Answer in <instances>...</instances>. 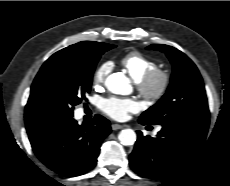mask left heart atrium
<instances>
[{"mask_svg":"<svg viewBox=\"0 0 230 186\" xmlns=\"http://www.w3.org/2000/svg\"><path fill=\"white\" fill-rule=\"evenodd\" d=\"M101 109L108 116L116 120H125L130 113L139 110V104L133 99L110 97L101 101Z\"/></svg>","mask_w":230,"mask_h":186,"instance_id":"obj_1","label":"left heart atrium"}]
</instances>
